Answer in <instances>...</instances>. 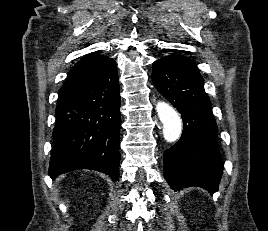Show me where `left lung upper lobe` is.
Returning a JSON list of instances; mask_svg holds the SVG:
<instances>
[{"instance_id":"left-lung-upper-lobe-1","label":"left lung upper lobe","mask_w":268,"mask_h":231,"mask_svg":"<svg viewBox=\"0 0 268 231\" xmlns=\"http://www.w3.org/2000/svg\"><path fill=\"white\" fill-rule=\"evenodd\" d=\"M166 57L175 58L177 60H180V61L190 65L191 67H194V68L198 69L197 66H196V63L193 60H191V59H189V58H187V57H185L183 55L173 54V55H169V56H166Z\"/></svg>"}]
</instances>
